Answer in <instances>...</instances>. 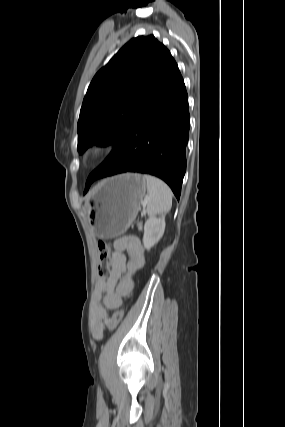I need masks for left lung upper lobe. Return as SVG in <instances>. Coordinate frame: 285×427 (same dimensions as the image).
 <instances>
[{
  "instance_id": "5c2ea615",
  "label": "left lung upper lobe",
  "mask_w": 285,
  "mask_h": 427,
  "mask_svg": "<svg viewBox=\"0 0 285 427\" xmlns=\"http://www.w3.org/2000/svg\"><path fill=\"white\" fill-rule=\"evenodd\" d=\"M172 56L153 35L125 44L91 81L78 120V151L118 146L146 106Z\"/></svg>"
}]
</instances>
